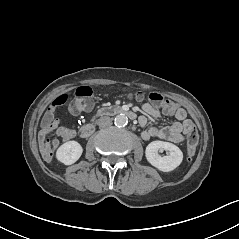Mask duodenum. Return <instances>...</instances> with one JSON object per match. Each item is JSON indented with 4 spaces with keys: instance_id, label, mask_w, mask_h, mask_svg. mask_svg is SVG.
Listing matches in <instances>:
<instances>
[{
    "instance_id": "410a0bca",
    "label": "duodenum",
    "mask_w": 239,
    "mask_h": 239,
    "mask_svg": "<svg viewBox=\"0 0 239 239\" xmlns=\"http://www.w3.org/2000/svg\"><path fill=\"white\" fill-rule=\"evenodd\" d=\"M116 114H124L130 119L136 118V114L133 111L125 109L121 106L105 107V108L100 109L89 123H87L81 127L80 135L82 137H89L94 132V129H95L94 122L97 117L105 116V115H116Z\"/></svg>"
}]
</instances>
